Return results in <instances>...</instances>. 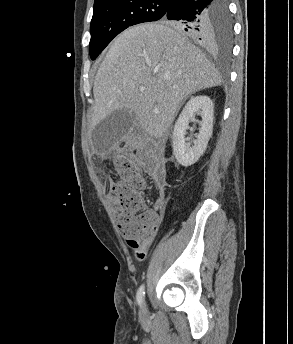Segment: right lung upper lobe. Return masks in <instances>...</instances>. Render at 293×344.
Instances as JSON below:
<instances>
[{
  "label": "right lung upper lobe",
  "instance_id": "right-lung-upper-lobe-1",
  "mask_svg": "<svg viewBox=\"0 0 293 344\" xmlns=\"http://www.w3.org/2000/svg\"><path fill=\"white\" fill-rule=\"evenodd\" d=\"M103 1H112V0H94V5L98 4L99 2H103Z\"/></svg>",
  "mask_w": 293,
  "mask_h": 344
}]
</instances>
